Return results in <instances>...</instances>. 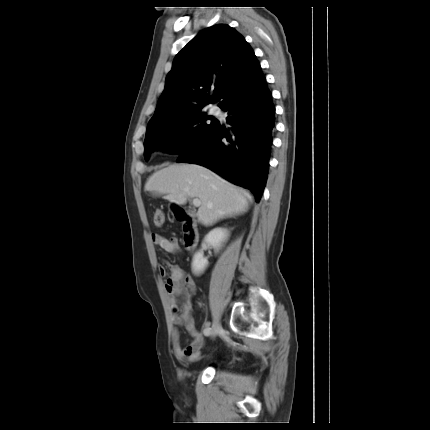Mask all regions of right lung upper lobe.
Returning <instances> with one entry per match:
<instances>
[{"label":"right lung upper lobe","instance_id":"right-lung-upper-lobe-1","mask_svg":"<svg viewBox=\"0 0 430 430\" xmlns=\"http://www.w3.org/2000/svg\"><path fill=\"white\" fill-rule=\"evenodd\" d=\"M261 77L260 64L242 35L226 24L206 28L175 56L147 128L202 107L207 98L221 105L245 80L249 83Z\"/></svg>","mask_w":430,"mask_h":430}]
</instances>
